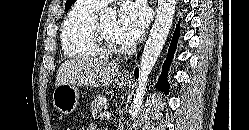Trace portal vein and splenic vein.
<instances>
[{"mask_svg": "<svg viewBox=\"0 0 249 130\" xmlns=\"http://www.w3.org/2000/svg\"><path fill=\"white\" fill-rule=\"evenodd\" d=\"M101 117H102V118H107V119H109V118L111 117V113H110V112H103V113L101 114Z\"/></svg>", "mask_w": 249, "mask_h": 130, "instance_id": "1", "label": "portal vein and splenic vein"}]
</instances>
